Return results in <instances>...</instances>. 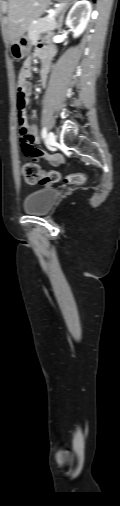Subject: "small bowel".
Returning <instances> with one entry per match:
<instances>
[{
  "instance_id": "small-bowel-1",
  "label": "small bowel",
  "mask_w": 120,
  "mask_h": 506,
  "mask_svg": "<svg viewBox=\"0 0 120 506\" xmlns=\"http://www.w3.org/2000/svg\"><path fill=\"white\" fill-rule=\"evenodd\" d=\"M54 50L52 48H48L45 45H43L42 42H38L35 49H34V57L38 58L41 62L40 65V84L42 87H45L48 83V73L51 65V59L53 57ZM32 60L31 58H28L24 61L19 77H18V83L22 84L24 88L29 92L30 86L27 82V78L30 77L32 69H31ZM20 133L21 134H30L35 139L36 144L39 142V132L38 128L29 123L27 115L25 114L20 122ZM27 154V153H26ZM28 156H31L33 158L43 157L47 161H49L51 164H57L60 162L61 158L58 155L55 156H46L39 152L38 155L32 156L30 154H27Z\"/></svg>"
}]
</instances>
